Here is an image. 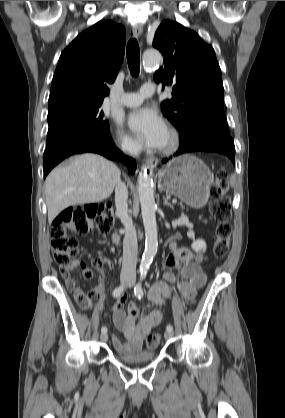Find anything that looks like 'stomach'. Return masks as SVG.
<instances>
[{
    "label": "stomach",
    "instance_id": "obj_1",
    "mask_svg": "<svg viewBox=\"0 0 285 418\" xmlns=\"http://www.w3.org/2000/svg\"><path fill=\"white\" fill-rule=\"evenodd\" d=\"M158 178L162 190L193 208H201L208 202L212 174L207 165L192 154L172 159L158 172Z\"/></svg>",
    "mask_w": 285,
    "mask_h": 418
}]
</instances>
